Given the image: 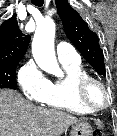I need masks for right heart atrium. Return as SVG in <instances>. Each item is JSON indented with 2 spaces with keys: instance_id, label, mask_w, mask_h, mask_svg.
<instances>
[{
  "instance_id": "right-heart-atrium-1",
  "label": "right heart atrium",
  "mask_w": 117,
  "mask_h": 136,
  "mask_svg": "<svg viewBox=\"0 0 117 136\" xmlns=\"http://www.w3.org/2000/svg\"><path fill=\"white\" fill-rule=\"evenodd\" d=\"M17 81L27 99L37 103L44 102L49 80L33 61L27 62L20 68Z\"/></svg>"
}]
</instances>
